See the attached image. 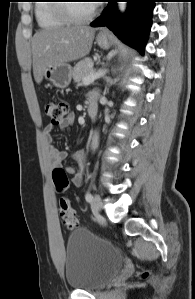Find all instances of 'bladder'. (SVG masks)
<instances>
[{
  "label": "bladder",
  "mask_w": 195,
  "mask_h": 299,
  "mask_svg": "<svg viewBox=\"0 0 195 299\" xmlns=\"http://www.w3.org/2000/svg\"><path fill=\"white\" fill-rule=\"evenodd\" d=\"M65 278L68 286L94 291L114 277L122 257L108 241L86 229H75L65 246Z\"/></svg>",
  "instance_id": "obj_1"
}]
</instances>
